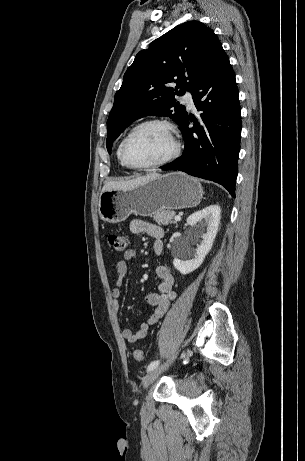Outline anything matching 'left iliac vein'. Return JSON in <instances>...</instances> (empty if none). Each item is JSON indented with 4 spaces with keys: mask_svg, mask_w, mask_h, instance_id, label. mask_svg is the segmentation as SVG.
<instances>
[{
    "mask_svg": "<svg viewBox=\"0 0 305 461\" xmlns=\"http://www.w3.org/2000/svg\"><path fill=\"white\" fill-rule=\"evenodd\" d=\"M173 359L174 357L172 358V361ZM168 366H169V363L150 370L143 379V382H142L143 388L144 389L148 388V386L151 385Z\"/></svg>",
    "mask_w": 305,
    "mask_h": 461,
    "instance_id": "left-iliac-vein-1",
    "label": "left iliac vein"
}]
</instances>
